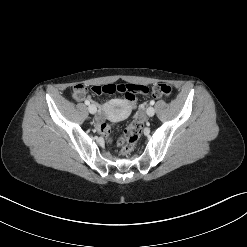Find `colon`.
Here are the masks:
<instances>
[{
  "label": "colon",
  "mask_w": 247,
  "mask_h": 247,
  "mask_svg": "<svg viewBox=\"0 0 247 247\" xmlns=\"http://www.w3.org/2000/svg\"><path fill=\"white\" fill-rule=\"evenodd\" d=\"M92 91L96 94H113L116 92L124 93L126 96V105L135 110L138 107L137 92L144 96H148L151 93L155 98H168L172 93V88L165 83L155 84L151 88L142 84H106L94 86L92 87ZM73 92L76 95H82L87 93V87L82 84H78L74 87ZM141 118L142 116L139 114L137 119L126 127L116 141L119 149L125 154L132 151L142 133L143 123ZM100 130L104 134L110 133V127L107 124H103L100 127Z\"/></svg>",
  "instance_id": "obj_1"
}]
</instances>
